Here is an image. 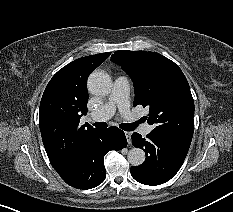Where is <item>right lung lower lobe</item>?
I'll return each mask as SVG.
<instances>
[{
  "mask_svg": "<svg viewBox=\"0 0 233 212\" xmlns=\"http://www.w3.org/2000/svg\"><path fill=\"white\" fill-rule=\"evenodd\" d=\"M126 145L125 134L119 128L100 129L89 142L81 158L59 175L72 187L78 189L94 188L100 185L106 177L105 154L110 150H120Z\"/></svg>",
  "mask_w": 233,
  "mask_h": 212,
  "instance_id": "obj_1",
  "label": "right lung lower lobe"
}]
</instances>
